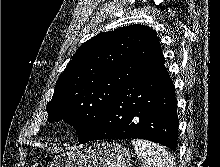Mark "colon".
Listing matches in <instances>:
<instances>
[{
  "mask_svg": "<svg viewBox=\"0 0 220 167\" xmlns=\"http://www.w3.org/2000/svg\"><path fill=\"white\" fill-rule=\"evenodd\" d=\"M35 167H45L44 165H36Z\"/></svg>",
  "mask_w": 220,
  "mask_h": 167,
  "instance_id": "1",
  "label": "colon"
}]
</instances>
